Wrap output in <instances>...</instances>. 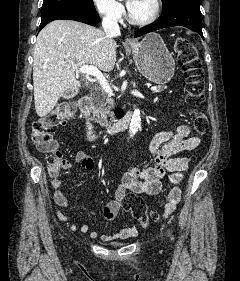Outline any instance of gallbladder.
<instances>
[{"label":"gallbladder","instance_id":"1","mask_svg":"<svg viewBox=\"0 0 240 281\" xmlns=\"http://www.w3.org/2000/svg\"><path fill=\"white\" fill-rule=\"evenodd\" d=\"M69 93H70V92H69V90H68V91L64 94V97H65V98H68Z\"/></svg>","mask_w":240,"mask_h":281}]
</instances>
